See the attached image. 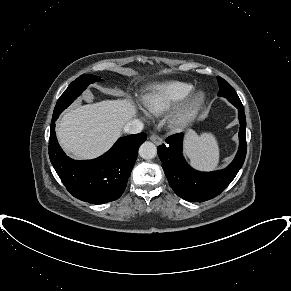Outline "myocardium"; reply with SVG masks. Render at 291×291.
Masks as SVG:
<instances>
[{"mask_svg": "<svg viewBox=\"0 0 291 291\" xmlns=\"http://www.w3.org/2000/svg\"><path fill=\"white\" fill-rule=\"evenodd\" d=\"M205 94L194 91L187 95L173 110L169 125L173 130H182L190 125L205 103Z\"/></svg>", "mask_w": 291, "mask_h": 291, "instance_id": "f54148a6", "label": "myocardium"}]
</instances>
